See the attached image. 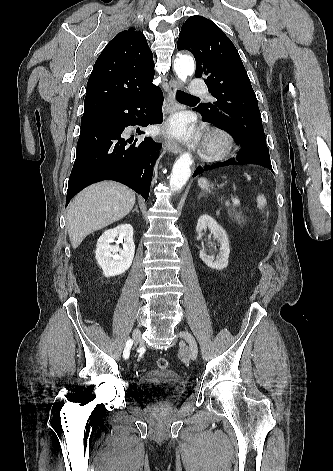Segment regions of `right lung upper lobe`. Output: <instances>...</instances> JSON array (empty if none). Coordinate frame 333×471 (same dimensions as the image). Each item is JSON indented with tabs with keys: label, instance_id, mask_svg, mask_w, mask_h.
Listing matches in <instances>:
<instances>
[{
	"label": "right lung upper lobe",
	"instance_id": "obj_1",
	"mask_svg": "<svg viewBox=\"0 0 333 471\" xmlns=\"http://www.w3.org/2000/svg\"><path fill=\"white\" fill-rule=\"evenodd\" d=\"M154 77L153 55L143 33H118L95 62L87 82L84 114L146 92Z\"/></svg>",
	"mask_w": 333,
	"mask_h": 471
}]
</instances>
